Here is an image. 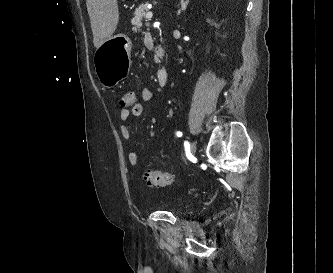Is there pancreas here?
<instances>
[{"instance_id":"cf45deb5","label":"pancreas","mask_w":333,"mask_h":273,"mask_svg":"<svg viewBox=\"0 0 333 273\" xmlns=\"http://www.w3.org/2000/svg\"><path fill=\"white\" fill-rule=\"evenodd\" d=\"M147 3L140 4L133 13V18L131 20V23L133 25L132 30L134 32L140 31V28L142 27V20L144 19L146 12H147ZM163 53L162 51H157L154 60L156 63H159V59L162 57Z\"/></svg>"}]
</instances>
